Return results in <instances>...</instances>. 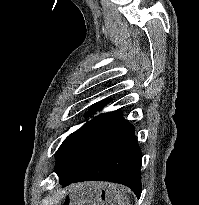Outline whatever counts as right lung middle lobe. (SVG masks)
Segmentation results:
<instances>
[{"instance_id": "obj_1", "label": "right lung middle lobe", "mask_w": 199, "mask_h": 205, "mask_svg": "<svg viewBox=\"0 0 199 205\" xmlns=\"http://www.w3.org/2000/svg\"><path fill=\"white\" fill-rule=\"evenodd\" d=\"M88 112L86 115H92ZM126 121L103 114L93 117L80 129L69 135L57 151L55 172L60 174L76 159L103 143Z\"/></svg>"}]
</instances>
